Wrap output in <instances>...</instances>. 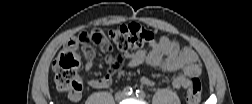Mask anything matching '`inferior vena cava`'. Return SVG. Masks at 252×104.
I'll list each match as a JSON object with an SVG mask.
<instances>
[{
	"instance_id": "1",
	"label": "inferior vena cava",
	"mask_w": 252,
	"mask_h": 104,
	"mask_svg": "<svg viewBox=\"0 0 252 104\" xmlns=\"http://www.w3.org/2000/svg\"><path fill=\"white\" fill-rule=\"evenodd\" d=\"M122 97H123V93H122V92H118V93L116 94V98H117L118 100H121Z\"/></svg>"
}]
</instances>
